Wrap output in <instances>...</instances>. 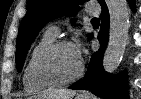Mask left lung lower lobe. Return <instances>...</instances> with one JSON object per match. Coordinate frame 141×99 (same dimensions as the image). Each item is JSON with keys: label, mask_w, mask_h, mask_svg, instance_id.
<instances>
[{"label": "left lung lower lobe", "mask_w": 141, "mask_h": 99, "mask_svg": "<svg viewBox=\"0 0 141 99\" xmlns=\"http://www.w3.org/2000/svg\"><path fill=\"white\" fill-rule=\"evenodd\" d=\"M130 6L134 11V0H129ZM101 29L98 40L101 44L99 50L95 52L90 60L85 77L78 83L70 86V89L90 90L94 95L104 99H127L126 75H112L103 69V53L108 42L109 31V12L106 4L102 6ZM90 37H92L90 35Z\"/></svg>", "instance_id": "left-lung-lower-lobe-1"}]
</instances>
